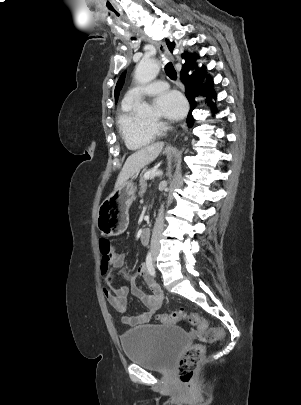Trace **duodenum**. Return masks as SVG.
<instances>
[{
  "label": "duodenum",
  "mask_w": 301,
  "mask_h": 405,
  "mask_svg": "<svg viewBox=\"0 0 301 405\" xmlns=\"http://www.w3.org/2000/svg\"><path fill=\"white\" fill-rule=\"evenodd\" d=\"M140 240L142 242V244L147 245L149 243L150 240V231L147 228H144L141 232L140 235Z\"/></svg>",
  "instance_id": "obj_1"
}]
</instances>
